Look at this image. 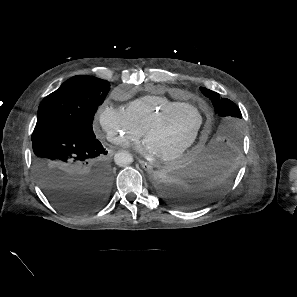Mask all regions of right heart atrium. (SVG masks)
I'll list each match as a JSON object with an SVG mask.
<instances>
[{"instance_id": "1", "label": "right heart atrium", "mask_w": 297, "mask_h": 297, "mask_svg": "<svg viewBox=\"0 0 297 297\" xmlns=\"http://www.w3.org/2000/svg\"><path fill=\"white\" fill-rule=\"evenodd\" d=\"M96 122L103 131L104 137L120 147L130 146L142 134V131L131 121L125 110L109 103L103 104L98 109Z\"/></svg>"}]
</instances>
